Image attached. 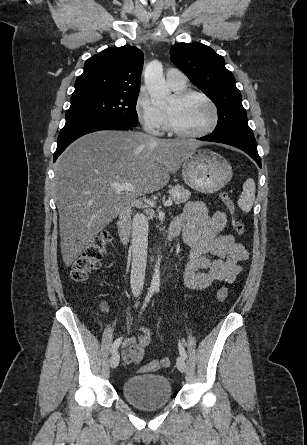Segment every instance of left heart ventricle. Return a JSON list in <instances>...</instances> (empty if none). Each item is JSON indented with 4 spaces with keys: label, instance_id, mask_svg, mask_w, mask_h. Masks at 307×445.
Masks as SVG:
<instances>
[{
    "label": "left heart ventricle",
    "instance_id": "1",
    "mask_svg": "<svg viewBox=\"0 0 307 445\" xmlns=\"http://www.w3.org/2000/svg\"><path fill=\"white\" fill-rule=\"evenodd\" d=\"M162 110L178 128L190 133L208 128L213 121L211 107L197 97L180 101L172 95Z\"/></svg>",
    "mask_w": 307,
    "mask_h": 445
}]
</instances>
